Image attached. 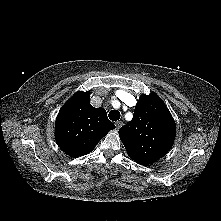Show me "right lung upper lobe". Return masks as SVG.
I'll list each match as a JSON object with an SVG mask.
<instances>
[{"label":"right lung upper lobe","instance_id":"cb5924a9","mask_svg":"<svg viewBox=\"0 0 221 221\" xmlns=\"http://www.w3.org/2000/svg\"><path fill=\"white\" fill-rule=\"evenodd\" d=\"M115 125L106 110L90 104L89 92H76L60 109L55 139L67 155L79 157L90 153Z\"/></svg>","mask_w":221,"mask_h":221}]
</instances>
